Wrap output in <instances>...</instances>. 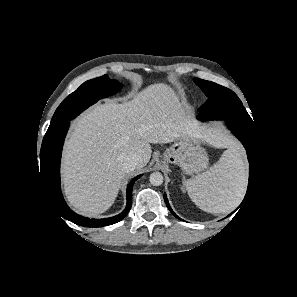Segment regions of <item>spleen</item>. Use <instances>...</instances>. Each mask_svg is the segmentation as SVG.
I'll return each mask as SVG.
<instances>
[{
  "label": "spleen",
  "instance_id": "spleen-1",
  "mask_svg": "<svg viewBox=\"0 0 297 297\" xmlns=\"http://www.w3.org/2000/svg\"><path fill=\"white\" fill-rule=\"evenodd\" d=\"M247 182L241 150L232 146L208 171L186 181L191 200L203 211L218 214L234 209Z\"/></svg>",
  "mask_w": 297,
  "mask_h": 297
}]
</instances>
